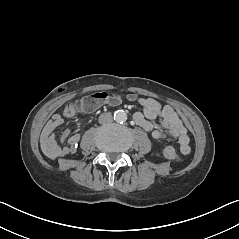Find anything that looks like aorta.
<instances>
[{
  "label": "aorta",
  "mask_w": 239,
  "mask_h": 239,
  "mask_svg": "<svg viewBox=\"0 0 239 239\" xmlns=\"http://www.w3.org/2000/svg\"><path fill=\"white\" fill-rule=\"evenodd\" d=\"M114 120L118 123L125 122L127 120V113L124 110L115 111Z\"/></svg>",
  "instance_id": "1"
}]
</instances>
